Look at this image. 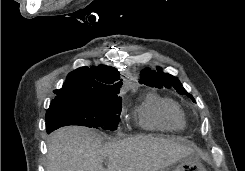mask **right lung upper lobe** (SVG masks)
I'll return each mask as SVG.
<instances>
[{
	"label": "right lung upper lobe",
	"mask_w": 245,
	"mask_h": 171,
	"mask_svg": "<svg viewBox=\"0 0 245 171\" xmlns=\"http://www.w3.org/2000/svg\"><path fill=\"white\" fill-rule=\"evenodd\" d=\"M114 67L105 65L80 67L68 74L62 88L52 102L61 100H94L117 96L122 82Z\"/></svg>",
	"instance_id": "1"
}]
</instances>
